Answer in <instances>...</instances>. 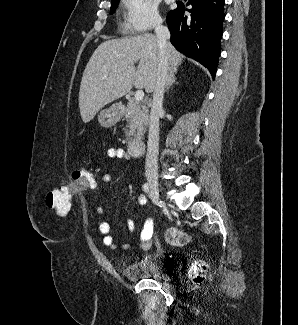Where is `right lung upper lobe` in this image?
Masks as SVG:
<instances>
[{
	"label": "right lung upper lobe",
	"mask_w": 298,
	"mask_h": 325,
	"mask_svg": "<svg viewBox=\"0 0 298 325\" xmlns=\"http://www.w3.org/2000/svg\"><path fill=\"white\" fill-rule=\"evenodd\" d=\"M118 0H111V3H113V2H117Z\"/></svg>",
	"instance_id": "right-lung-upper-lobe-1"
}]
</instances>
